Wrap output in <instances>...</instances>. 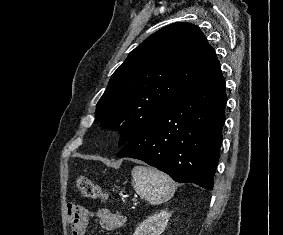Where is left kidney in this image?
<instances>
[{
	"label": "left kidney",
	"mask_w": 283,
	"mask_h": 235,
	"mask_svg": "<svg viewBox=\"0 0 283 235\" xmlns=\"http://www.w3.org/2000/svg\"><path fill=\"white\" fill-rule=\"evenodd\" d=\"M169 217L166 211L149 216L139 224L133 235H161L167 226Z\"/></svg>",
	"instance_id": "left-kidney-1"
}]
</instances>
